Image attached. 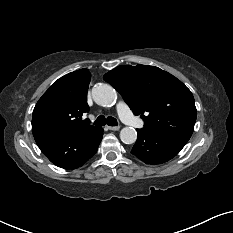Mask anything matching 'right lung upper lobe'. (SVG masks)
Instances as JSON below:
<instances>
[{
	"instance_id": "1",
	"label": "right lung upper lobe",
	"mask_w": 233,
	"mask_h": 233,
	"mask_svg": "<svg viewBox=\"0 0 233 233\" xmlns=\"http://www.w3.org/2000/svg\"><path fill=\"white\" fill-rule=\"evenodd\" d=\"M91 74L87 69L71 72L57 81L37 102L32 116L34 138L43 136L73 137L96 127L82 120L89 111L86 102Z\"/></svg>"
}]
</instances>
